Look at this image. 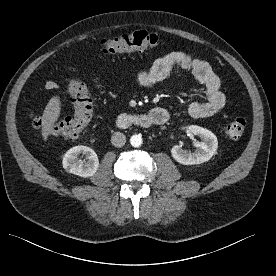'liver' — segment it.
Here are the masks:
<instances>
[{"label": "liver", "mask_w": 276, "mask_h": 276, "mask_svg": "<svg viewBox=\"0 0 276 276\" xmlns=\"http://www.w3.org/2000/svg\"><path fill=\"white\" fill-rule=\"evenodd\" d=\"M61 113V102L59 96H53L46 105L42 115V137L47 141L53 125Z\"/></svg>", "instance_id": "obj_1"}]
</instances>
